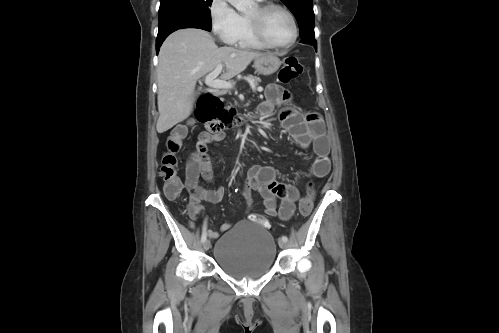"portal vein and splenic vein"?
Returning <instances> with one entry per match:
<instances>
[{"mask_svg": "<svg viewBox=\"0 0 499 333\" xmlns=\"http://www.w3.org/2000/svg\"><path fill=\"white\" fill-rule=\"evenodd\" d=\"M221 71H222V64H218L216 68L205 77V84L211 88L231 89L233 87V83L222 79H216L217 76L221 73ZM252 88H254L253 85ZM257 90L259 92H262L263 88H258Z\"/></svg>", "mask_w": 499, "mask_h": 333, "instance_id": "18ae733b", "label": "portal vein and splenic vein"}]
</instances>
